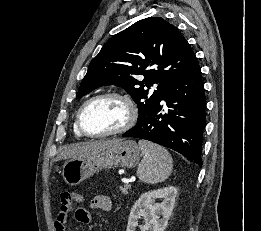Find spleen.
<instances>
[{
  "label": "spleen",
  "mask_w": 261,
  "mask_h": 231,
  "mask_svg": "<svg viewBox=\"0 0 261 231\" xmlns=\"http://www.w3.org/2000/svg\"><path fill=\"white\" fill-rule=\"evenodd\" d=\"M138 144L143 155L137 169L139 179L147 184L165 181L173 168V159L169 152L149 141L139 140Z\"/></svg>",
  "instance_id": "obj_1"
}]
</instances>
